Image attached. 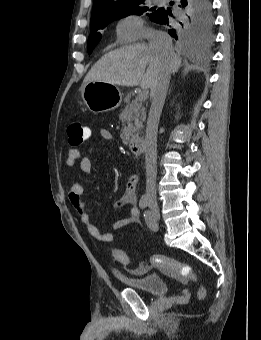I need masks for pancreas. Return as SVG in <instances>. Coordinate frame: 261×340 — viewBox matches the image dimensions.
Returning a JSON list of instances; mask_svg holds the SVG:
<instances>
[{
	"label": "pancreas",
	"instance_id": "obj_1",
	"mask_svg": "<svg viewBox=\"0 0 261 340\" xmlns=\"http://www.w3.org/2000/svg\"><path fill=\"white\" fill-rule=\"evenodd\" d=\"M123 130L120 135L122 142L127 144L131 138L138 135L143 129L145 120L144 114L140 111V105L137 101L128 103L119 116Z\"/></svg>",
	"mask_w": 261,
	"mask_h": 340
}]
</instances>
